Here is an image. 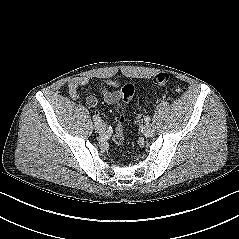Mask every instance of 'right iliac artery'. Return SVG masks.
<instances>
[{
    "instance_id": "82829eb1",
    "label": "right iliac artery",
    "mask_w": 239,
    "mask_h": 239,
    "mask_svg": "<svg viewBox=\"0 0 239 239\" xmlns=\"http://www.w3.org/2000/svg\"><path fill=\"white\" fill-rule=\"evenodd\" d=\"M93 120H94L95 122H100V117L94 115V116H93Z\"/></svg>"
}]
</instances>
